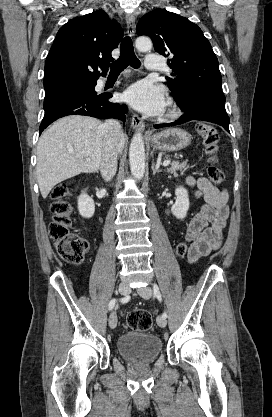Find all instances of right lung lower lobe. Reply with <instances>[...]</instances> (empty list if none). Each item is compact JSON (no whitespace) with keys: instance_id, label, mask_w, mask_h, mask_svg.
I'll use <instances>...</instances> for the list:
<instances>
[{"instance_id":"right-lung-lower-lobe-1","label":"right lung lower lobe","mask_w":272,"mask_h":417,"mask_svg":"<svg viewBox=\"0 0 272 417\" xmlns=\"http://www.w3.org/2000/svg\"><path fill=\"white\" fill-rule=\"evenodd\" d=\"M96 81L87 83V90L62 93L45 102V116L39 127L40 134L53 121L67 115H87L100 119L117 118L124 122L127 107L111 103L109 101L111 94H97Z\"/></svg>"}]
</instances>
